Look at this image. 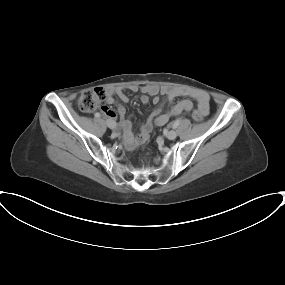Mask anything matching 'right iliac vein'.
Listing matches in <instances>:
<instances>
[{
  "label": "right iliac vein",
  "mask_w": 285,
  "mask_h": 285,
  "mask_svg": "<svg viewBox=\"0 0 285 285\" xmlns=\"http://www.w3.org/2000/svg\"><path fill=\"white\" fill-rule=\"evenodd\" d=\"M107 126H108L110 129H115V128H116V123H115V121H113V120H107Z\"/></svg>",
  "instance_id": "right-iliac-vein-1"
}]
</instances>
